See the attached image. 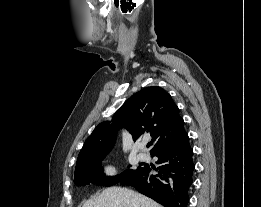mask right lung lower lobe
Returning a JSON list of instances; mask_svg holds the SVG:
<instances>
[{"label": "right lung lower lobe", "instance_id": "obj_1", "mask_svg": "<svg viewBox=\"0 0 261 207\" xmlns=\"http://www.w3.org/2000/svg\"><path fill=\"white\" fill-rule=\"evenodd\" d=\"M151 156L158 157V168H153L155 175H151L152 168L146 164L121 183L135 187L164 207H186L195 168L188 136L180 143L158 150Z\"/></svg>", "mask_w": 261, "mask_h": 207}]
</instances>
